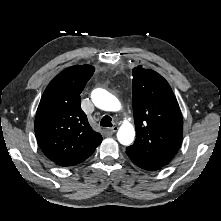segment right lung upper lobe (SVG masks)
Instances as JSON below:
<instances>
[{
    "mask_svg": "<svg viewBox=\"0 0 221 221\" xmlns=\"http://www.w3.org/2000/svg\"><path fill=\"white\" fill-rule=\"evenodd\" d=\"M94 73L75 65L58 74L45 89L37 109L35 134L44 154L62 167L80 164L102 142L81 109L80 93Z\"/></svg>",
    "mask_w": 221,
    "mask_h": 221,
    "instance_id": "cb5924a9",
    "label": "right lung upper lobe"
}]
</instances>
